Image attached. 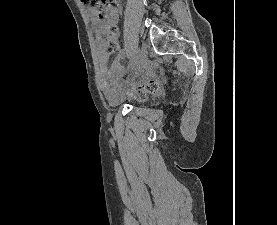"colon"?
Here are the masks:
<instances>
[{
	"mask_svg": "<svg viewBox=\"0 0 277 225\" xmlns=\"http://www.w3.org/2000/svg\"><path fill=\"white\" fill-rule=\"evenodd\" d=\"M81 3L96 11L97 16L105 18L108 15L109 0H81ZM110 33L105 42V51L107 53H114L118 49V42L116 38ZM157 89V83L155 81H148L145 84L135 86L131 88L128 95L131 99L142 100L148 94L153 93Z\"/></svg>",
	"mask_w": 277,
	"mask_h": 225,
	"instance_id": "5ec220e1",
	"label": "colon"
}]
</instances>
